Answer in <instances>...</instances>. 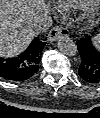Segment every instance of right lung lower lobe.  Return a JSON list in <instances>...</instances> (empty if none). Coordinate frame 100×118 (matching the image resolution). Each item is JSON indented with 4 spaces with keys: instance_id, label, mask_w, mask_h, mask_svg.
<instances>
[{
    "instance_id": "right-lung-lower-lobe-1",
    "label": "right lung lower lobe",
    "mask_w": 100,
    "mask_h": 118,
    "mask_svg": "<svg viewBox=\"0 0 100 118\" xmlns=\"http://www.w3.org/2000/svg\"><path fill=\"white\" fill-rule=\"evenodd\" d=\"M45 44L36 37L18 57L0 58V77L14 82L31 78L39 70L38 63Z\"/></svg>"
}]
</instances>
